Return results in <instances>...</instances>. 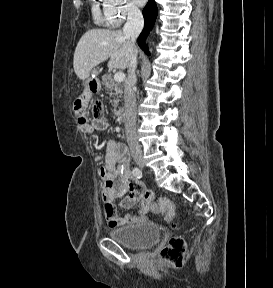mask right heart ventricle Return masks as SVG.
<instances>
[{"label":"right heart ventricle","instance_id":"obj_1","mask_svg":"<svg viewBox=\"0 0 273 288\" xmlns=\"http://www.w3.org/2000/svg\"><path fill=\"white\" fill-rule=\"evenodd\" d=\"M93 16L97 23L106 24L108 23L107 16L105 12L102 13L101 9L97 4L93 5Z\"/></svg>","mask_w":273,"mask_h":288}]
</instances>
